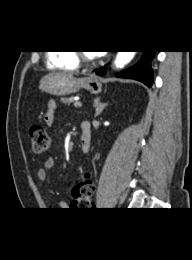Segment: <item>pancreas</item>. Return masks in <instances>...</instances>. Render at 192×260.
I'll return each instance as SVG.
<instances>
[{
    "label": "pancreas",
    "instance_id": "cf45deb5",
    "mask_svg": "<svg viewBox=\"0 0 192 260\" xmlns=\"http://www.w3.org/2000/svg\"><path fill=\"white\" fill-rule=\"evenodd\" d=\"M61 101L64 104H70V103L74 102V97H69V98L63 97V98H61Z\"/></svg>",
    "mask_w": 192,
    "mask_h": 260
}]
</instances>
